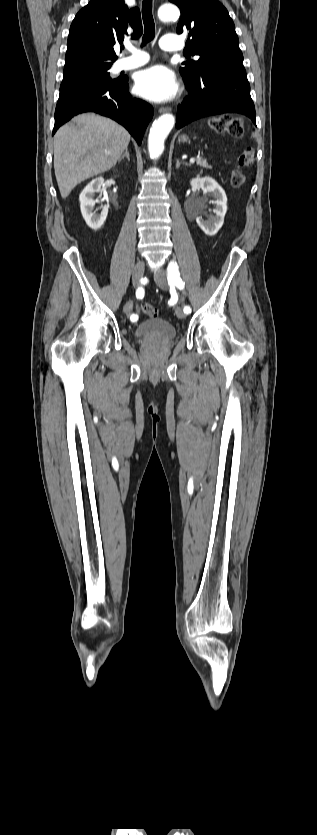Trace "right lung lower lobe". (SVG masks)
Here are the masks:
<instances>
[{"instance_id":"1","label":"right lung lower lobe","mask_w":317,"mask_h":835,"mask_svg":"<svg viewBox=\"0 0 317 835\" xmlns=\"http://www.w3.org/2000/svg\"><path fill=\"white\" fill-rule=\"evenodd\" d=\"M81 58L68 59L66 62ZM128 89V80L117 78L61 91L52 135L75 115L92 111L123 125L140 145L144 131L153 117V108L143 100L132 98Z\"/></svg>"}]
</instances>
